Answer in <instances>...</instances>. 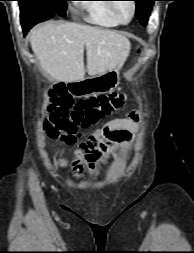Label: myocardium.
Segmentation results:
<instances>
[{"label": "myocardium", "mask_w": 194, "mask_h": 253, "mask_svg": "<svg viewBox=\"0 0 194 253\" xmlns=\"http://www.w3.org/2000/svg\"><path fill=\"white\" fill-rule=\"evenodd\" d=\"M111 1H113V2H110V8H111L113 14L119 20L120 23H128L134 18L135 14H136V10H137V4H136L135 1H133V0L131 1L133 9H132V14H131L129 19H124L121 16V14H120V12L117 8V4H116L117 2H114L115 0H111Z\"/></svg>", "instance_id": "myocardium-1"}]
</instances>
